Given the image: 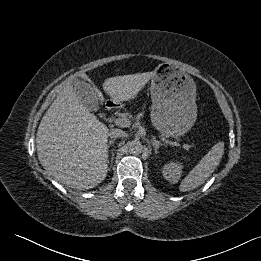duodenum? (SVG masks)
<instances>
[{
  "instance_id": "1",
  "label": "duodenum",
  "mask_w": 261,
  "mask_h": 261,
  "mask_svg": "<svg viewBox=\"0 0 261 261\" xmlns=\"http://www.w3.org/2000/svg\"><path fill=\"white\" fill-rule=\"evenodd\" d=\"M108 108H109V109H111V108H112V105H111V104H109V105H108Z\"/></svg>"
}]
</instances>
